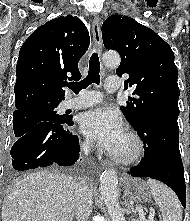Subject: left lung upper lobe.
I'll use <instances>...</instances> for the list:
<instances>
[{
	"label": "left lung upper lobe",
	"instance_id": "obj_1",
	"mask_svg": "<svg viewBox=\"0 0 190 221\" xmlns=\"http://www.w3.org/2000/svg\"><path fill=\"white\" fill-rule=\"evenodd\" d=\"M102 38L107 49L121 56L117 75L129 74L124 89H132L136 98H128L121 111L131 125L153 112L178 116V70L171 47L153 30L122 15L104 21Z\"/></svg>",
	"mask_w": 190,
	"mask_h": 221
}]
</instances>
